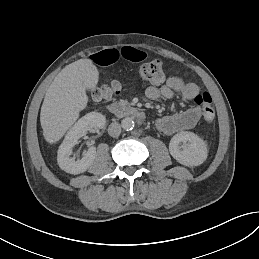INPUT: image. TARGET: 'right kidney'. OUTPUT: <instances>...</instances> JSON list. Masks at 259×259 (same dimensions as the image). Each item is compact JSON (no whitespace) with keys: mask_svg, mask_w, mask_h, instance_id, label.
I'll list each match as a JSON object with an SVG mask.
<instances>
[{"mask_svg":"<svg viewBox=\"0 0 259 259\" xmlns=\"http://www.w3.org/2000/svg\"><path fill=\"white\" fill-rule=\"evenodd\" d=\"M104 124V116L94 112L87 114L75 124L58 151V164L62 170L71 175H78L86 172L92 166L96 159L94 147L87 149L84 156L77 161L70 158V155L79 139L85 137L88 132L102 128Z\"/></svg>","mask_w":259,"mask_h":259,"instance_id":"obj_1","label":"right kidney"}]
</instances>
